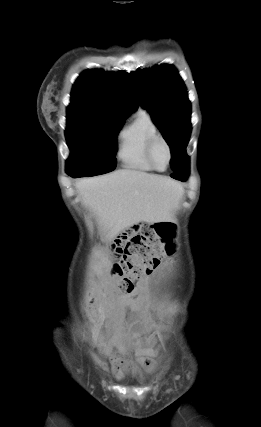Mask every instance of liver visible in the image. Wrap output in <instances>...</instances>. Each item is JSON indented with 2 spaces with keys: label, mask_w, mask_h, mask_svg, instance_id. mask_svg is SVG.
Segmentation results:
<instances>
[{
  "label": "liver",
  "mask_w": 261,
  "mask_h": 427,
  "mask_svg": "<svg viewBox=\"0 0 261 427\" xmlns=\"http://www.w3.org/2000/svg\"><path fill=\"white\" fill-rule=\"evenodd\" d=\"M83 203L108 231V239L139 222L172 220L184 189L176 181L123 169L75 183Z\"/></svg>",
  "instance_id": "1"
}]
</instances>
